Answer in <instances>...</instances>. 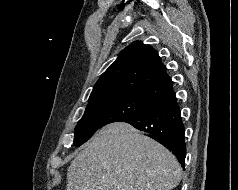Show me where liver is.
Returning a JSON list of instances; mask_svg holds the SVG:
<instances>
[{"mask_svg": "<svg viewBox=\"0 0 238 190\" xmlns=\"http://www.w3.org/2000/svg\"><path fill=\"white\" fill-rule=\"evenodd\" d=\"M182 179L176 157L133 126L101 128L67 171V190H172Z\"/></svg>", "mask_w": 238, "mask_h": 190, "instance_id": "liver-1", "label": "liver"}]
</instances>
